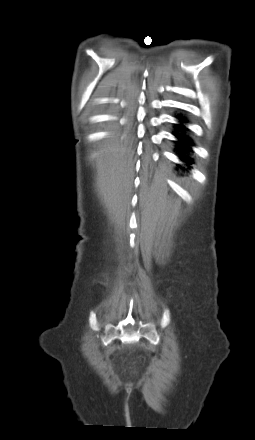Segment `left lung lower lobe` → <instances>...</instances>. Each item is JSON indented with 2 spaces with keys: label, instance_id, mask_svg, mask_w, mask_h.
Masks as SVG:
<instances>
[{
  "label": "left lung lower lobe",
  "instance_id": "left-lung-lower-lobe-1",
  "mask_svg": "<svg viewBox=\"0 0 255 440\" xmlns=\"http://www.w3.org/2000/svg\"><path fill=\"white\" fill-rule=\"evenodd\" d=\"M179 120L178 124H174L173 135L177 138L174 141L176 144L175 151L178 152L181 161L185 162L187 165L193 163V159L190 157V152H192L191 146H193V140L187 135L188 128L185 124L188 122L183 115H178L176 117ZM180 167V165H178Z\"/></svg>",
  "mask_w": 255,
  "mask_h": 440
}]
</instances>
